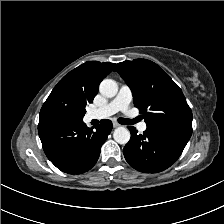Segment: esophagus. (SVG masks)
Returning <instances> with one entry per match:
<instances>
[{"label":"esophagus","instance_id":"obj_1","mask_svg":"<svg viewBox=\"0 0 224 224\" xmlns=\"http://www.w3.org/2000/svg\"><path fill=\"white\" fill-rule=\"evenodd\" d=\"M119 126H120L119 123H117L116 121H113V127H114V128H117V127H119Z\"/></svg>","mask_w":224,"mask_h":224}]
</instances>
